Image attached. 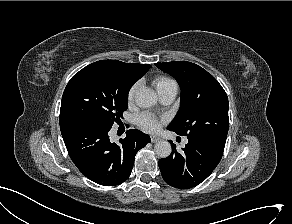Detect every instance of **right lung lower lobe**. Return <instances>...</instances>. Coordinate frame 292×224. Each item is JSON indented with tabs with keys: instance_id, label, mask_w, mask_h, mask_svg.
Instances as JSON below:
<instances>
[{
	"instance_id": "1",
	"label": "right lung lower lobe",
	"mask_w": 292,
	"mask_h": 224,
	"mask_svg": "<svg viewBox=\"0 0 292 224\" xmlns=\"http://www.w3.org/2000/svg\"><path fill=\"white\" fill-rule=\"evenodd\" d=\"M59 122L74 164L88 179L104 186L126 181L136 153L150 142V137L139 130H128L126 137L116 144L109 139L111 128L76 117L63 118Z\"/></svg>"
}]
</instances>
